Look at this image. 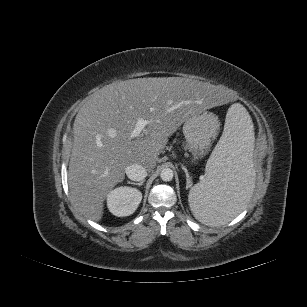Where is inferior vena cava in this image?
I'll return each instance as SVG.
<instances>
[{
  "label": "inferior vena cava",
  "mask_w": 307,
  "mask_h": 307,
  "mask_svg": "<svg viewBox=\"0 0 307 307\" xmlns=\"http://www.w3.org/2000/svg\"><path fill=\"white\" fill-rule=\"evenodd\" d=\"M125 172L127 177L133 181H143L147 176L146 169L137 163L127 166Z\"/></svg>",
  "instance_id": "obj_1"
}]
</instances>
